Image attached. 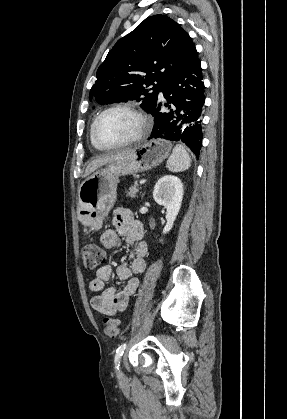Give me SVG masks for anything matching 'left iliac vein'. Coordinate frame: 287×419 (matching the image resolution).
Instances as JSON below:
<instances>
[{
  "instance_id": "4c4485c4",
  "label": "left iliac vein",
  "mask_w": 287,
  "mask_h": 419,
  "mask_svg": "<svg viewBox=\"0 0 287 419\" xmlns=\"http://www.w3.org/2000/svg\"><path fill=\"white\" fill-rule=\"evenodd\" d=\"M118 376H119L120 378H122V379H124V378H125V375H124V373L122 372V370H121V369H119V371H118Z\"/></svg>"
}]
</instances>
